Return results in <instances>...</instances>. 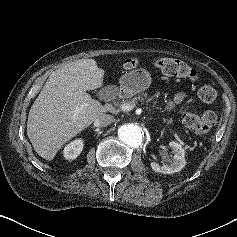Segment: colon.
<instances>
[{"label":"colon","mask_w":237,"mask_h":237,"mask_svg":"<svg viewBox=\"0 0 237 237\" xmlns=\"http://www.w3.org/2000/svg\"><path fill=\"white\" fill-rule=\"evenodd\" d=\"M139 65L140 62L136 58H130L125 61V66L128 69H136ZM153 65L167 76L187 78L192 82H196L200 79L199 73L181 60L157 58L153 60ZM197 94L199 99L205 103H212L217 97L216 90L209 85L201 86ZM216 120V113L212 110L206 111L202 118H199L196 114L189 111L187 107L182 114L183 124L199 134L208 133L210 128L216 123Z\"/></svg>","instance_id":"colon-1"}]
</instances>
